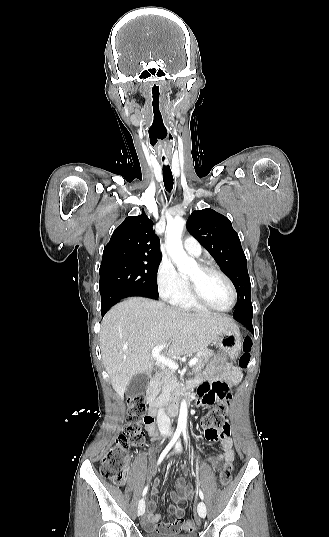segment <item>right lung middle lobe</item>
Listing matches in <instances>:
<instances>
[{
	"label": "right lung middle lobe",
	"mask_w": 329,
	"mask_h": 537,
	"mask_svg": "<svg viewBox=\"0 0 329 537\" xmlns=\"http://www.w3.org/2000/svg\"><path fill=\"white\" fill-rule=\"evenodd\" d=\"M160 259L150 262H117L101 265L100 292L119 288L143 292L158 297L157 271Z\"/></svg>",
	"instance_id": "right-lung-middle-lobe-1"
}]
</instances>
